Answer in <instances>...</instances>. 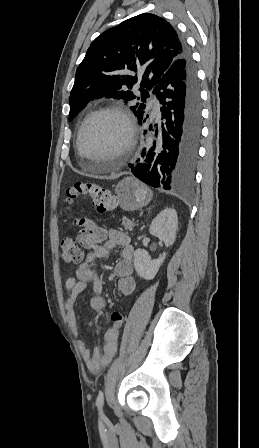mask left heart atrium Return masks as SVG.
Returning <instances> with one entry per match:
<instances>
[{
  "mask_svg": "<svg viewBox=\"0 0 259 448\" xmlns=\"http://www.w3.org/2000/svg\"><path fill=\"white\" fill-rule=\"evenodd\" d=\"M153 156H154V152H153V150H148V151L146 152L147 160H149V161L152 160Z\"/></svg>",
  "mask_w": 259,
  "mask_h": 448,
  "instance_id": "left-heart-atrium-1",
  "label": "left heart atrium"
}]
</instances>
